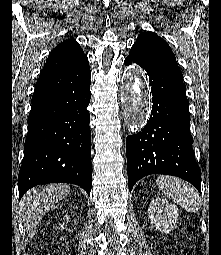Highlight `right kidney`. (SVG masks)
Returning <instances> with one entry per match:
<instances>
[{
  "instance_id": "ca27d5eb",
  "label": "right kidney",
  "mask_w": 221,
  "mask_h": 255,
  "mask_svg": "<svg viewBox=\"0 0 221 255\" xmlns=\"http://www.w3.org/2000/svg\"><path fill=\"white\" fill-rule=\"evenodd\" d=\"M66 218H67V220H68V216H67ZM61 228H64V223L61 225Z\"/></svg>"
}]
</instances>
